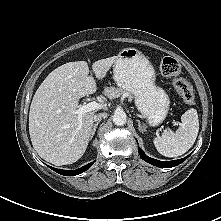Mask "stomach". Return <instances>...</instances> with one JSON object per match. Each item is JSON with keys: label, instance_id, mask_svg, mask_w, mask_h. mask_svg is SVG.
I'll return each mask as SVG.
<instances>
[{"label": "stomach", "instance_id": "stomach-1", "mask_svg": "<svg viewBox=\"0 0 221 221\" xmlns=\"http://www.w3.org/2000/svg\"><path fill=\"white\" fill-rule=\"evenodd\" d=\"M117 86L131 93L138 111L151 126L165 119L170 100L168 94L155 84V70L145 55L135 48L122 49L113 66Z\"/></svg>", "mask_w": 221, "mask_h": 221}]
</instances>
